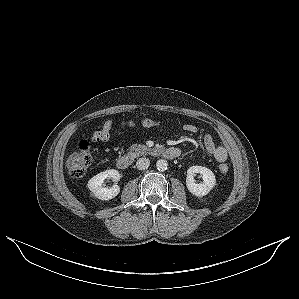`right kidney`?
I'll return each mask as SVG.
<instances>
[{"instance_id":"1","label":"right kidney","mask_w":299,"mask_h":299,"mask_svg":"<svg viewBox=\"0 0 299 299\" xmlns=\"http://www.w3.org/2000/svg\"><path fill=\"white\" fill-rule=\"evenodd\" d=\"M106 178L118 181L120 179V174L115 169H109L104 172H100L88 181V188L90 191L96 198L101 200H110L116 197L120 192V187L117 184L112 185L110 188H104L102 183Z\"/></svg>"}]
</instances>
